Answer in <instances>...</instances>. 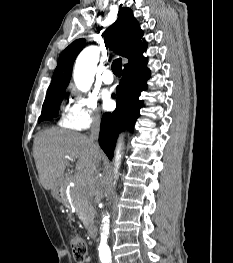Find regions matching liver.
Returning <instances> with one entry per match:
<instances>
[{
  "label": "liver",
  "instance_id": "obj_1",
  "mask_svg": "<svg viewBox=\"0 0 233 263\" xmlns=\"http://www.w3.org/2000/svg\"><path fill=\"white\" fill-rule=\"evenodd\" d=\"M33 156L40 182L46 190H52L61 179L68 161L78 159L77 180H82L96 173L97 164L103 158L99 147L86 135L60 128H50L36 136Z\"/></svg>",
  "mask_w": 233,
  "mask_h": 263
}]
</instances>
